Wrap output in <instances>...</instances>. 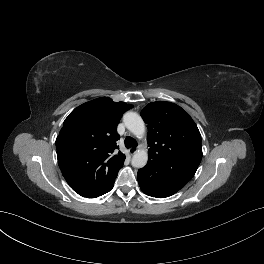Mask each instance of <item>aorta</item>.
<instances>
[{"instance_id":"762f6f07","label":"aorta","mask_w":264,"mask_h":264,"mask_svg":"<svg viewBox=\"0 0 264 264\" xmlns=\"http://www.w3.org/2000/svg\"><path fill=\"white\" fill-rule=\"evenodd\" d=\"M123 122L127 129L137 137H141L145 133V124L143 119L136 112H126L123 116ZM148 161V153L145 149L135 152L132 157L131 164L135 168H143Z\"/></svg>"}]
</instances>
